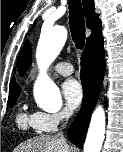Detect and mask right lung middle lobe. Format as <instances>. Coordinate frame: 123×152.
<instances>
[{
    "label": "right lung middle lobe",
    "mask_w": 123,
    "mask_h": 152,
    "mask_svg": "<svg viewBox=\"0 0 123 152\" xmlns=\"http://www.w3.org/2000/svg\"><path fill=\"white\" fill-rule=\"evenodd\" d=\"M19 93H20V92H16V93H14V94L9 95L8 105H9L10 107L14 104L15 99L19 96Z\"/></svg>",
    "instance_id": "1"
}]
</instances>
